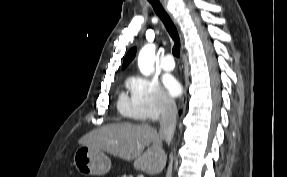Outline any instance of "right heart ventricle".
<instances>
[{
  "instance_id": "right-heart-ventricle-1",
  "label": "right heart ventricle",
  "mask_w": 287,
  "mask_h": 177,
  "mask_svg": "<svg viewBox=\"0 0 287 177\" xmlns=\"http://www.w3.org/2000/svg\"><path fill=\"white\" fill-rule=\"evenodd\" d=\"M118 109L120 113L125 116L135 117L134 102L132 99H129L124 93H121L119 96Z\"/></svg>"
}]
</instances>
